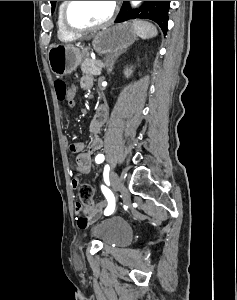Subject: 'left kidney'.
Segmentation results:
<instances>
[{"label":"left kidney","instance_id":"1","mask_svg":"<svg viewBox=\"0 0 237 300\" xmlns=\"http://www.w3.org/2000/svg\"><path fill=\"white\" fill-rule=\"evenodd\" d=\"M131 73H132L131 69H126L124 75H126V77H130Z\"/></svg>","mask_w":237,"mask_h":300}]
</instances>
